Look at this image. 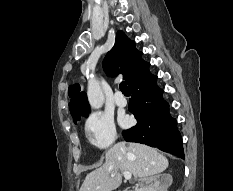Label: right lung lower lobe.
<instances>
[{
	"mask_svg": "<svg viewBox=\"0 0 233 191\" xmlns=\"http://www.w3.org/2000/svg\"><path fill=\"white\" fill-rule=\"evenodd\" d=\"M143 62L128 82L132 92L129 111L137 124L123 131L126 141L139 142L184 159L182 137L176 120L169 114V104L162 98L163 90L156 84L157 76Z\"/></svg>",
	"mask_w": 233,
	"mask_h": 191,
	"instance_id": "1",
	"label": "right lung lower lobe"
}]
</instances>
